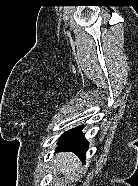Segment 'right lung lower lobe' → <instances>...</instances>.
Returning a JSON list of instances; mask_svg holds the SVG:
<instances>
[{"label":"right lung lower lobe","instance_id":"obj_1","mask_svg":"<svg viewBox=\"0 0 138 186\" xmlns=\"http://www.w3.org/2000/svg\"><path fill=\"white\" fill-rule=\"evenodd\" d=\"M83 126H78L66 131L59 139L57 151H71L85 161V154L88 149V142L81 132Z\"/></svg>","mask_w":138,"mask_h":186}]
</instances>
